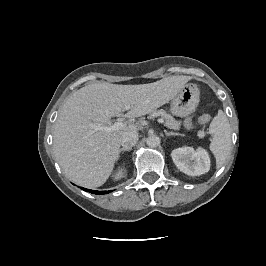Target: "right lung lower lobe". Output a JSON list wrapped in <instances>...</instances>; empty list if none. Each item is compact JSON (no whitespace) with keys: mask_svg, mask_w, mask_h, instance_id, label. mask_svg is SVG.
Here are the masks:
<instances>
[{"mask_svg":"<svg viewBox=\"0 0 266 266\" xmlns=\"http://www.w3.org/2000/svg\"><path fill=\"white\" fill-rule=\"evenodd\" d=\"M81 189L87 191V192H90V193H93V194H106L108 192H111V191H94V190H90V189H85V188H82Z\"/></svg>","mask_w":266,"mask_h":266,"instance_id":"obj_1","label":"right lung lower lobe"}]
</instances>
